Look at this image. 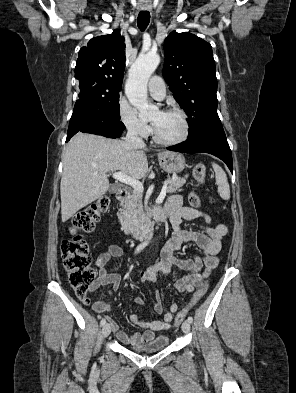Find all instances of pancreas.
<instances>
[{
    "label": "pancreas",
    "instance_id": "1",
    "mask_svg": "<svg viewBox=\"0 0 296 393\" xmlns=\"http://www.w3.org/2000/svg\"><path fill=\"white\" fill-rule=\"evenodd\" d=\"M187 177H175L168 181L167 193H174L186 183ZM122 205L121 213L118 214L122 229L126 232L134 231L144 218L142 205V193L133 191Z\"/></svg>",
    "mask_w": 296,
    "mask_h": 393
}]
</instances>
